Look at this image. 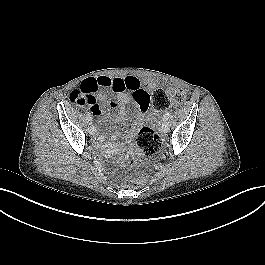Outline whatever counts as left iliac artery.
Returning a JSON list of instances; mask_svg holds the SVG:
<instances>
[{"label":"left iliac artery","instance_id":"1","mask_svg":"<svg viewBox=\"0 0 265 265\" xmlns=\"http://www.w3.org/2000/svg\"><path fill=\"white\" fill-rule=\"evenodd\" d=\"M170 116H171V113H170V112H166V113L164 114V116H163V119H164V120H168V119L170 118Z\"/></svg>","mask_w":265,"mask_h":265}]
</instances>
